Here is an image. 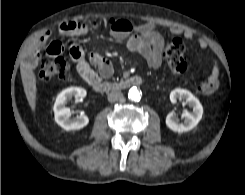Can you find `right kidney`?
<instances>
[{"mask_svg":"<svg viewBox=\"0 0 245 195\" xmlns=\"http://www.w3.org/2000/svg\"><path fill=\"white\" fill-rule=\"evenodd\" d=\"M85 96L86 90L80 87L67 88L57 96L53 107L55 121L64 130H79L89 123V118L86 115L70 118L71 111L66 107V101L72 97H75L76 99H82Z\"/></svg>","mask_w":245,"mask_h":195,"instance_id":"right-kidney-1","label":"right kidney"}]
</instances>
